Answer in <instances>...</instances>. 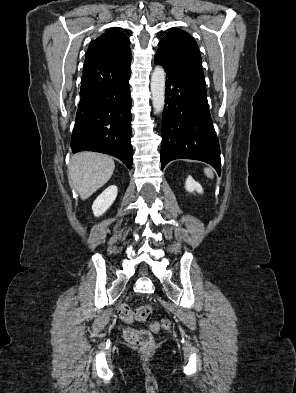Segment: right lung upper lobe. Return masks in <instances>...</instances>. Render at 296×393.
I'll return each mask as SVG.
<instances>
[{"label":"right lung upper lobe","instance_id":"cb5924a9","mask_svg":"<svg viewBox=\"0 0 296 393\" xmlns=\"http://www.w3.org/2000/svg\"><path fill=\"white\" fill-rule=\"evenodd\" d=\"M130 53L129 39L119 29L111 28L91 42L86 59L122 57Z\"/></svg>","mask_w":296,"mask_h":393}]
</instances>
